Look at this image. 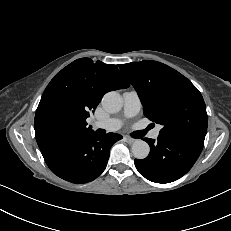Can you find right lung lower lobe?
Masks as SVG:
<instances>
[{
  "mask_svg": "<svg viewBox=\"0 0 231 231\" xmlns=\"http://www.w3.org/2000/svg\"><path fill=\"white\" fill-rule=\"evenodd\" d=\"M122 136L91 132L80 138L62 139L40 148L50 170L72 183H87L106 168L111 146Z\"/></svg>",
  "mask_w": 231,
  "mask_h": 231,
  "instance_id": "98d812e1",
  "label": "right lung lower lobe"
}]
</instances>
